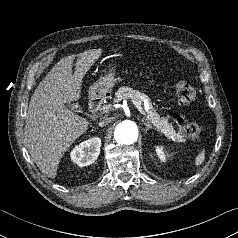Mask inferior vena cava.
Segmentation results:
<instances>
[{
    "label": "inferior vena cava",
    "mask_w": 238,
    "mask_h": 238,
    "mask_svg": "<svg viewBox=\"0 0 238 238\" xmlns=\"http://www.w3.org/2000/svg\"><path fill=\"white\" fill-rule=\"evenodd\" d=\"M111 122V118H105L103 121H101L100 123H99V126H105V125H107L108 123H110Z\"/></svg>",
    "instance_id": "inferior-vena-cava-1"
}]
</instances>
